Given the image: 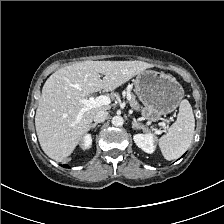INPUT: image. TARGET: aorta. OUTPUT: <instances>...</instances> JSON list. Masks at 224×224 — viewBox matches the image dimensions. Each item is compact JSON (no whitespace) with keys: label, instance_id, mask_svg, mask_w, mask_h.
<instances>
[{"label":"aorta","instance_id":"762f6f07","mask_svg":"<svg viewBox=\"0 0 224 224\" xmlns=\"http://www.w3.org/2000/svg\"><path fill=\"white\" fill-rule=\"evenodd\" d=\"M111 123L115 127L122 126L124 123V119L122 116H114L111 120Z\"/></svg>","mask_w":224,"mask_h":224}]
</instances>
